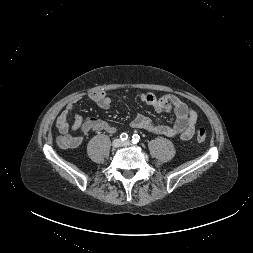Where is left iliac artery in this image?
Wrapping results in <instances>:
<instances>
[{"mask_svg": "<svg viewBox=\"0 0 253 253\" xmlns=\"http://www.w3.org/2000/svg\"><path fill=\"white\" fill-rule=\"evenodd\" d=\"M139 140H140V136L138 134H133V136H132V143L136 144V143L139 142Z\"/></svg>", "mask_w": 253, "mask_h": 253, "instance_id": "left-iliac-artery-1", "label": "left iliac artery"}]
</instances>
